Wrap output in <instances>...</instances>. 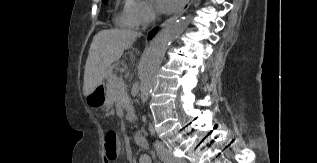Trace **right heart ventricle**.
<instances>
[{
  "label": "right heart ventricle",
  "mask_w": 317,
  "mask_h": 163,
  "mask_svg": "<svg viewBox=\"0 0 317 163\" xmlns=\"http://www.w3.org/2000/svg\"><path fill=\"white\" fill-rule=\"evenodd\" d=\"M124 4L123 11L117 16L116 23L119 26L122 27H136L130 20L129 14H128V6L129 3H131V0H120Z\"/></svg>",
  "instance_id": "right-heart-ventricle-1"
}]
</instances>
